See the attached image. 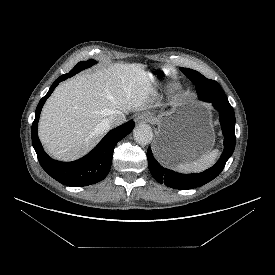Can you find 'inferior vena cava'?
Returning <instances> with one entry per match:
<instances>
[{"instance_id":"obj_1","label":"inferior vena cava","mask_w":275,"mask_h":275,"mask_svg":"<svg viewBox=\"0 0 275 275\" xmlns=\"http://www.w3.org/2000/svg\"><path fill=\"white\" fill-rule=\"evenodd\" d=\"M124 122H126V116L122 112L114 113L113 115L109 116L105 121V123L109 127H115V126H118L120 124H123Z\"/></svg>"}]
</instances>
